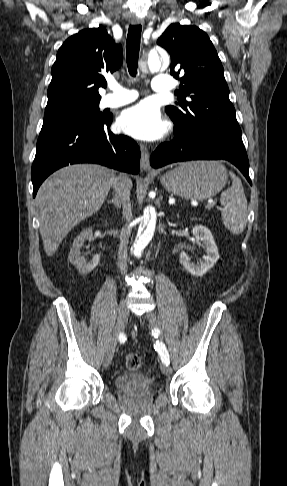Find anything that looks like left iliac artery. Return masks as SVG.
I'll return each instance as SVG.
<instances>
[{"instance_id": "44dca946", "label": "left iliac artery", "mask_w": 287, "mask_h": 486, "mask_svg": "<svg viewBox=\"0 0 287 486\" xmlns=\"http://www.w3.org/2000/svg\"><path fill=\"white\" fill-rule=\"evenodd\" d=\"M155 350L159 353L162 362L165 365H169V353L167 351V348L163 342L157 341L155 344Z\"/></svg>"}]
</instances>
